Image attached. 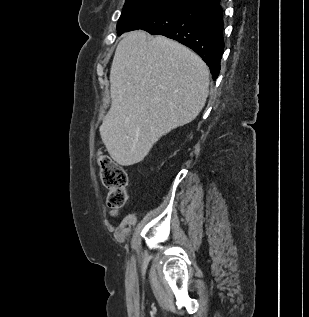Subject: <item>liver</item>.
Here are the masks:
<instances>
[{"label": "liver", "instance_id": "1", "mask_svg": "<svg viewBox=\"0 0 309 317\" xmlns=\"http://www.w3.org/2000/svg\"><path fill=\"white\" fill-rule=\"evenodd\" d=\"M209 69L182 44L132 31L110 70L111 107L100 126L110 156L128 166L171 130L193 121L208 97Z\"/></svg>", "mask_w": 309, "mask_h": 317}]
</instances>
